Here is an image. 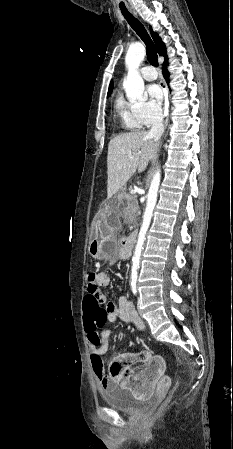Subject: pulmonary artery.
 I'll list each match as a JSON object with an SVG mask.
<instances>
[{"label":"pulmonary artery","instance_id":"1","mask_svg":"<svg viewBox=\"0 0 233 449\" xmlns=\"http://www.w3.org/2000/svg\"><path fill=\"white\" fill-rule=\"evenodd\" d=\"M141 75L143 77V79L147 80V81H153L155 79H157L158 74L157 71L155 70L154 67L152 66H144L141 69Z\"/></svg>","mask_w":233,"mask_h":449}]
</instances>
